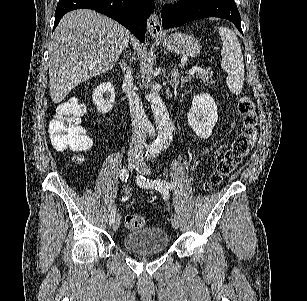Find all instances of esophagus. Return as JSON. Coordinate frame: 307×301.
Here are the masks:
<instances>
[{"mask_svg": "<svg viewBox=\"0 0 307 301\" xmlns=\"http://www.w3.org/2000/svg\"><path fill=\"white\" fill-rule=\"evenodd\" d=\"M147 29L150 35L154 38L159 40L163 33L161 23L159 21V17L156 13H153L147 22Z\"/></svg>", "mask_w": 307, "mask_h": 301, "instance_id": "esophagus-1", "label": "esophagus"}]
</instances>
